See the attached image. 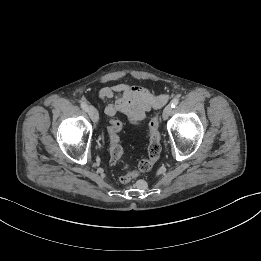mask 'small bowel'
<instances>
[{"mask_svg": "<svg viewBox=\"0 0 261 261\" xmlns=\"http://www.w3.org/2000/svg\"><path fill=\"white\" fill-rule=\"evenodd\" d=\"M99 97L106 103L108 116L121 112L135 125L141 124L146 113L160 100L146 89L128 83L104 87L99 91Z\"/></svg>", "mask_w": 261, "mask_h": 261, "instance_id": "obj_1", "label": "small bowel"}]
</instances>
